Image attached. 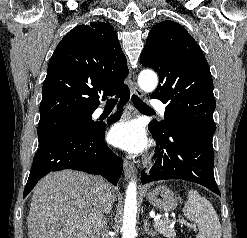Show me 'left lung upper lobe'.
Wrapping results in <instances>:
<instances>
[{"label": "left lung upper lobe", "instance_id": "1", "mask_svg": "<svg viewBox=\"0 0 247 238\" xmlns=\"http://www.w3.org/2000/svg\"><path fill=\"white\" fill-rule=\"evenodd\" d=\"M140 61L159 75L160 83L151 98L167 104L165 120L151 122V128L167 134L173 124L180 123L213 137L216 103L212 76L201 48L186 29L169 20L156 24Z\"/></svg>", "mask_w": 247, "mask_h": 238}]
</instances>
